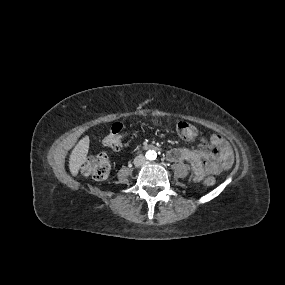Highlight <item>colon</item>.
<instances>
[{
  "mask_svg": "<svg viewBox=\"0 0 285 285\" xmlns=\"http://www.w3.org/2000/svg\"><path fill=\"white\" fill-rule=\"evenodd\" d=\"M177 133L184 140H192L197 135V128L188 122H179L177 124ZM104 144L112 149H121L126 147V132L124 126L115 123L111 126L108 135L104 139ZM82 173L96 180H105L108 178L111 170L109 157L104 153L89 156L81 166ZM215 178L212 176L204 180L206 186H213Z\"/></svg>",
  "mask_w": 285,
  "mask_h": 285,
  "instance_id": "colon-1",
  "label": "colon"
}]
</instances>
